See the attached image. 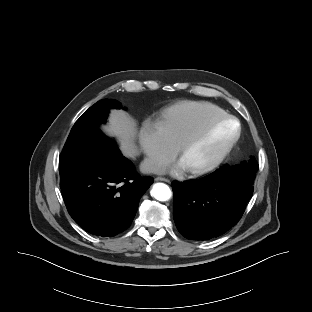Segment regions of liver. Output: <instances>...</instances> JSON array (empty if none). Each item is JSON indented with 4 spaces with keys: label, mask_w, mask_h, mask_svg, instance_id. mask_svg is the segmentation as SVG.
I'll return each instance as SVG.
<instances>
[{
    "label": "liver",
    "mask_w": 312,
    "mask_h": 312,
    "mask_svg": "<svg viewBox=\"0 0 312 312\" xmlns=\"http://www.w3.org/2000/svg\"><path fill=\"white\" fill-rule=\"evenodd\" d=\"M109 136L116 137L119 148L126 157L134 158L139 154L135 144L137 133L135 120L123 110H112L109 123L102 127Z\"/></svg>",
    "instance_id": "obj_1"
}]
</instances>
